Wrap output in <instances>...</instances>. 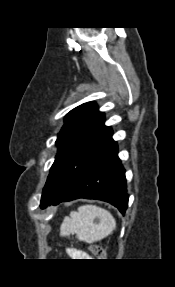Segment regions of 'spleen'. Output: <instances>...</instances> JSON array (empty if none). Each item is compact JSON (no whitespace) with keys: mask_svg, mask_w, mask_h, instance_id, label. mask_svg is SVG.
Instances as JSON below:
<instances>
[{"mask_svg":"<svg viewBox=\"0 0 175 287\" xmlns=\"http://www.w3.org/2000/svg\"><path fill=\"white\" fill-rule=\"evenodd\" d=\"M116 228L112 214L95 205L80 206L77 212H71L65 217L61 227V236L76 234L78 240L93 243L109 236Z\"/></svg>","mask_w":175,"mask_h":287,"instance_id":"spleen-1","label":"spleen"}]
</instances>
